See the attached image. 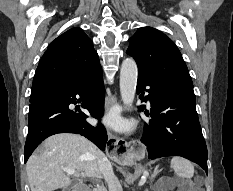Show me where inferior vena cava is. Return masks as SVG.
Wrapping results in <instances>:
<instances>
[{
  "label": "inferior vena cava",
  "instance_id": "602c4592",
  "mask_svg": "<svg viewBox=\"0 0 233 191\" xmlns=\"http://www.w3.org/2000/svg\"><path fill=\"white\" fill-rule=\"evenodd\" d=\"M98 166L108 184L109 191H122L121 184L115 176L112 165L106 156L99 159Z\"/></svg>",
  "mask_w": 233,
  "mask_h": 191
}]
</instances>
